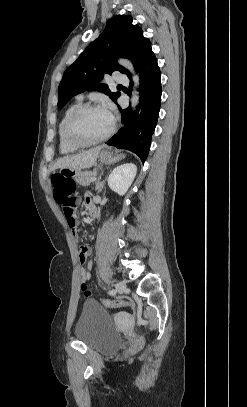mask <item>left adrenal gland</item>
Returning <instances> with one entry per match:
<instances>
[{"instance_id":"left-adrenal-gland-1","label":"left adrenal gland","mask_w":247,"mask_h":407,"mask_svg":"<svg viewBox=\"0 0 247 407\" xmlns=\"http://www.w3.org/2000/svg\"><path fill=\"white\" fill-rule=\"evenodd\" d=\"M104 182L105 181H101V176H100L96 182V189L98 190V193L102 191V189L104 187Z\"/></svg>"}]
</instances>
